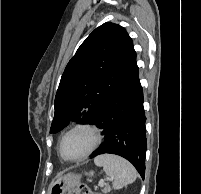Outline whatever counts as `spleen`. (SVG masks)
I'll return each mask as SVG.
<instances>
[{"instance_id":"obj_1","label":"spleen","mask_w":201,"mask_h":194,"mask_svg":"<svg viewBox=\"0 0 201 194\" xmlns=\"http://www.w3.org/2000/svg\"><path fill=\"white\" fill-rule=\"evenodd\" d=\"M94 163L103 167L105 173L112 179L114 189H120L131 184L137 178L133 165L119 156L112 154L99 155L94 159Z\"/></svg>"}]
</instances>
